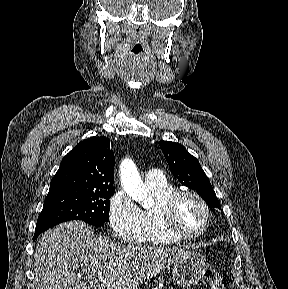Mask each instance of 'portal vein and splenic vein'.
Listing matches in <instances>:
<instances>
[{"mask_svg": "<svg viewBox=\"0 0 288 289\" xmlns=\"http://www.w3.org/2000/svg\"><path fill=\"white\" fill-rule=\"evenodd\" d=\"M89 283L93 289H103V286L98 282L97 279L93 278L91 275H87Z\"/></svg>", "mask_w": 288, "mask_h": 289, "instance_id": "18ae733b", "label": "portal vein and splenic vein"}]
</instances>
